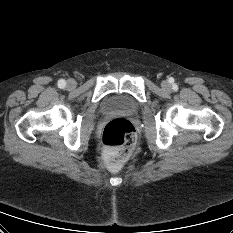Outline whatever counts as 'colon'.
<instances>
[{
	"label": "colon",
	"instance_id": "5ec220e1",
	"mask_svg": "<svg viewBox=\"0 0 233 233\" xmlns=\"http://www.w3.org/2000/svg\"><path fill=\"white\" fill-rule=\"evenodd\" d=\"M102 143L109 150L108 163L120 165L131 155L136 144L133 124L125 118L111 120L102 132Z\"/></svg>",
	"mask_w": 233,
	"mask_h": 233
}]
</instances>
